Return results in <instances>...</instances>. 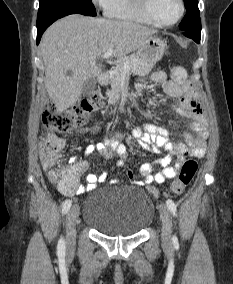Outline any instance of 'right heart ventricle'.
<instances>
[{
	"instance_id": "obj_1",
	"label": "right heart ventricle",
	"mask_w": 233,
	"mask_h": 284,
	"mask_svg": "<svg viewBox=\"0 0 233 284\" xmlns=\"http://www.w3.org/2000/svg\"><path fill=\"white\" fill-rule=\"evenodd\" d=\"M105 13L109 18L138 24L152 25L144 15L139 0H108Z\"/></svg>"
}]
</instances>
